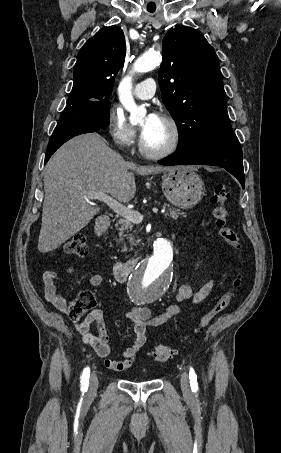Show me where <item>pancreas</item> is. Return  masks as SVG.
I'll list each match as a JSON object with an SVG mask.
<instances>
[{"mask_svg":"<svg viewBox=\"0 0 281 453\" xmlns=\"http://www.w3.org/2000/svg\"><path fill=\"white\" fill-rule=\"evenodd\" d=\"M164 206H169V204H164ZM179 214H184V212H179V208H169V210H165V216H172V218H178ZM115 227L117 231H119L120 243H122L123 237H127L132 247L133 245H137V241L136 243L134 241V233H136V231H133L134 222H131V220H126V218H118ZM125 231L126 233H129V231H131L129 237L128 235H124Z\"/></svg>","mask_w":281,"mask_h":453,"instance_id":"pancreas-1","label":"pancreas"}]
</instances>
